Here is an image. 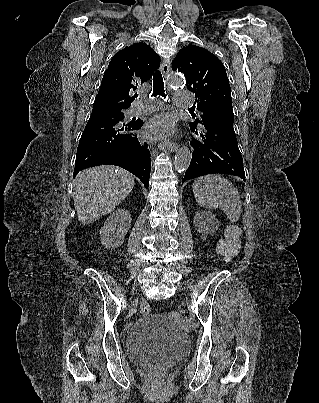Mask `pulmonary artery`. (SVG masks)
I'll use <instances>...</instances> for the list:
<instances>
[{
  "label": "pulmonary artery",
  "mask_w": 319,
  "mask_h": 403,
  "mask_svg": "<svg viewBox=\"0 0 319 403\" xmlns=\"http://www.w3.org/2000/svg\"><path fill=\"white\" fill-rule=\"evenodd\" d=\"M192 104V94L189 91H177L175 92V105L180 108L190 107ZM160 106V102L155 99L141 98L137 102L133 103L129 109L131 115H138L157 109Z\"/></svg>",
  "instance_id": "pulmonary-artery-1"
}]
</instances>
